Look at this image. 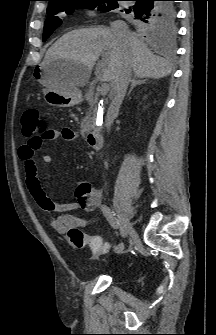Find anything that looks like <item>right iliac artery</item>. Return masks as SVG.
<instances>
[{"instance_id":"1","label":"right iliac artery","mask_w":216,"mask_h":335,"mask_svg":"<svg viewBox=\"0 0 216 335\" xmlns=\"http://www.w3.org/2000/svg\"><path fill=\"white\" fill-rule=\"evenodd\" d=\"M101 211L103 215L106 217L108 220L109 224L114 228V229H119L120 223L119 220L117 219L116 215L113 213V211L107 206V205H102L101 206ZM124 249V244L120 242L118 245L114 247V253L116 255L122 253Z\"/></svg>"}]
</instances>
